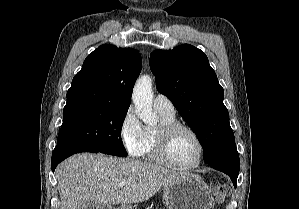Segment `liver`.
Masks as SVG:
<instances>
[{
	"mask_svg": "<svg viewBox=\"0 0 299 209\" xmlns=\"http://www.w3.org/2000/svg\"><path fill=\"white\" fill-rule=\"evenodd\" d=\"M188 176L153 163L89 153L73 155L56 169L61 209H83L88 200L108 207L140 203Z\"/></svg>",
	"mask_w": 299,
	"mask_h": 209,
	"instance_id": "obj_1",
	"label": "liver"
}]
</instances>
